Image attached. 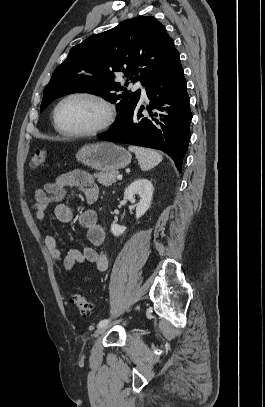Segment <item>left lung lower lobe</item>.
<instances>
[{"label": "left lung lower lobe", "mask_w": 265, "mask_h": 407, "mask_svg": "<svg viewBox=\"0 0 265 407\" xmlns=\"http://www.w3.org/2000/svg\"><path fill=\"white\" fill-rule=\"evenodd\" d=\"M186 86V79L180 63L167 75L160 79H154L147 85L146 92L150 99L147 110L150 117L142 113L144 106L137 105L123 122L109 132L98 135V138L162 150L175 161L179 172H181L182 161L191 137L192 113ZM164 103L170 104L171 107L167 108L169 115L164 116L163 123H159L160 129H158L152 122L153 120L156 124L158 123L150 108L163 111L164 108L161 106ZM154 115L157 116L156 113Z\"/></svg>", "instance_id": "left-lung-lower-lobe-1"}]
</instances>
